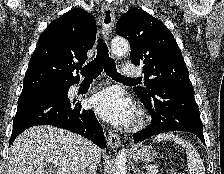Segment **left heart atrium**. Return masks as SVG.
I'll return each mask as SVG.
<instances>
[{
	"mask_svg": "<svg viewBox=\"0 0 224 174\" xmlns=\"http://www.w3.org/2000/svg\"><path fill=\"white\" fill-rule=\"evenodd\" d=\"M91 107L105 121L113 125H127L134 119V106L117 88H108L94 94Z\"/></svg>",
	"mask_w": 224,
	"mask_h": 174,
	"instance_id": "obj_1",
	"label": "left heart atrium"
}]
</instances>
